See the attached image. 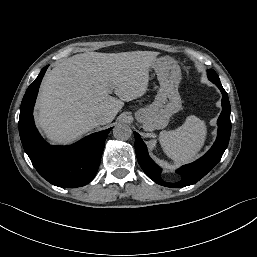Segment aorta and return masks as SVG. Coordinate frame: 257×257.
Returning a JSON list of instances; mask_svg holds the SVG:
<instances>
[{"label":"aorta","mask_w":257,"mask_h":257,"mask_svg":"<svg viewBox=\"0 0 257 257\" xmlns=\"http://www.w3.org/2000/svg\"><path fill=\"white\" fill-rule=\"evenodd\" d=\"M113 135L118 140H128L132 135V130L128 124L118 123L113 128Z\"/></svg>","instance_id":"1"}]
</instances>
